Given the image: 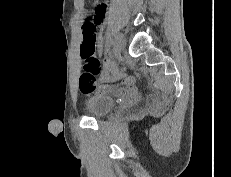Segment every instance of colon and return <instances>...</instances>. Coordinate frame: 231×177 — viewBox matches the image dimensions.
Listing matches in <instances>:
<instances>
[{
	"label": "colon",
	"instance_id": "1",
	"mask_svg": "<svg viewBox=\"0 0 231 177\" xmlns=\"http://www.w3.org/2000/svg\"><path fill=\"white\" fill-rule=\"evenodd\" d=\"M97 38V29L92 22L83 24V43L80 54L83 60V72L79 79L80 91L84 94L91 93L95 90L109 91L110 86L98 85L96 75L100 71V64L95 57V44Z\"/></svg>",
	"mask_w": 231,
	"mask_h": 177
}]
</instances>
